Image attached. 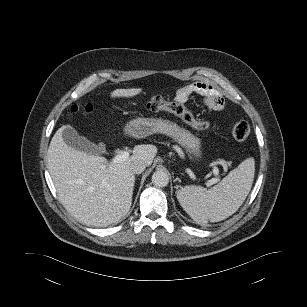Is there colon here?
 <instances>
[{
  "label": "colon",
  "mask_w": 307,
  "mask_h": 307,
  "mask_svg": "<svg viewBox=\"0 0 307 307\" xmlns=\"http://www.w3.org/2000/svg\"><path fill=\"white\" fill-rule=\"evenodd\" d=\"M147 107L154 112L166 111L179 117L183 122L192 127L206 131L211 125L207 121H201L194 117L193 113L184 104L177 101H167L160 95H153L147 103ZM90 104H79L73 107V112L81 115H88L92 111ZM231 133L238 141L246 140L250 135V127L245 121H238L231 125Z\"/></svg>",
  "instance_id": "colon-1"
}]
</instances>
